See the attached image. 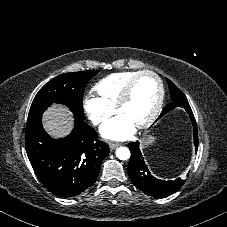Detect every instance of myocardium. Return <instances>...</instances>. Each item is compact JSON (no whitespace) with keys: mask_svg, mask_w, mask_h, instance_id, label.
<instances>
[{"mask_svg":"<svg viewBox=\"0 0 227 227\" xmlns=\"http://www.w3.org/2000/svg\"><path fill=\"white\" fill-rule=\"evenodd\" d=\"M143 75H150L156 79V81L158 83V87H159V93H158V97H157L155 106H154L153 110L151 111L150 115L148 116V118L146 120H144L143 122H141L140 124L136 125V128H138V129H144V128L149 127L155 121L157 116L159 115V112L163 105L164 95H165L164 84H163L161 77L152 70H142V71L137 72L128 81L126 87L124 88L123 92L119 96V98L116 102V105H115L116 111L120 112L121 107L131 98L138 79Z\"/></svg>","mask_w":227,"mask_h":227,"instance_id":"1","label":"myocardium"}]
</instances>
